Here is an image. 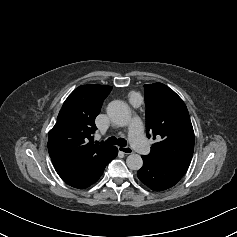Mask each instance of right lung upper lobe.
Listing matches in <instances>:
<instances>
[{
    "instance_id": "1",
    "label": "right lung upper lobe",
    "mask_w": 237,
    "mask_h": 237,
    "mask_svg": "<svg viewBox=\"0 0 237 237\" xmlns=\"http://www.w3.org/2000/svg\"><path fill=\"white\" fill-rule=\"evenodd\" d=\"M112 90L105 85H82L65 100L56 124L49 131V153L63 154L77 161L104 156L112 147L94 145L95 118Z\"/></svg>"
}]
</instances>
